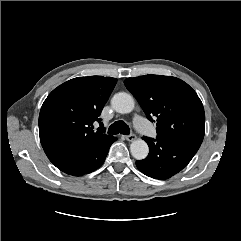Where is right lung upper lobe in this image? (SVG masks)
Returning <instances> with one entry per match:
<instances>
[{
  "mask_svg": "<svg viewBox=\"0 0 241 241\" xmlns=\"http://www.w3.org/2000/svg\"><path fill=\"white\" fill-rule=\"evenodd\" d=\"M117 79L103 76L77 77L54 89L44 101L39 115L42 147L49 158L85 150L108 138L104 129L93 130L101 122V111Z\"/></svg>",
  "mask_w": 241,
  "mask_h": 241,
  "instance_id": "right-lung-upper-lobe-1",
  "label": "right lung upper lobe"
}]
</instances>
